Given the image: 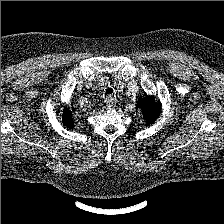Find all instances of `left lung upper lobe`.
I'll return each mask as SVG.
<instances>
[{
    "mask_svg": "<svg viewBox=\"0 0 224 224\" xmlns=\"http://www.w3.org/2000/svg\"><path fill=\"white\" fill-rule=\"evenodd\" d=\"M136 107L142 111L147 125L153 124L161 112V106L155 102L153 96L140 97Z\"/></svg>",
    "mask_w": 224,
    "mask_h": 224,
    "instance_id": "obj_1",
    "label": "left lung upper lobe"
}]
</instances>
